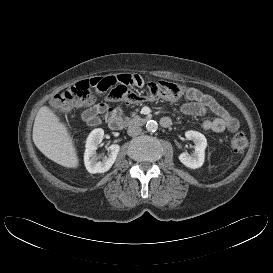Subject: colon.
I'll use <instances>...</instances> for the list:
<instances>
[{"mask_svg": "<svg viewBox=\"0 0 273 273\" xmlns=\"http://www.w3.org/2000/svg\"><path fill=\"white\" fill-rule=\"evenodd\" d=\"M138 82L137 75L117 74L109 77H95L77 82L67 90L55 96L52 109L55 113L64 114L74 107L89 105L94 101V92H107L110 101L126 100L131 103L140 101L137 93L130 91L129 87ZM185 91L184 85L170 81H154L148 83L149 99L174 100L179 98ZM248 145L244 133H237L231 141L232 148L243 151Z\"/></svg>", "mask_w": 273, "mask_h": 273, "instance_id": "1", "label": "colon"}]
</instances>
